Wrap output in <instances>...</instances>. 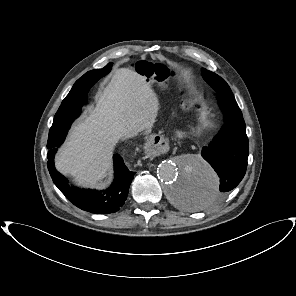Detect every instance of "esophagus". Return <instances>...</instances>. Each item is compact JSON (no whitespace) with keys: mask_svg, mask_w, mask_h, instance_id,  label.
<instances>
[{"mask_svg":"<svg viewBox=\"0 0 296 296\" xmlns=\"http://www.w3.org/2000/svg\"><path fill=\"white\" fill-rule=\"evenodd\" d=\"M168 148V140L160 135H151L142 144V151L148 157L160 158Z\"/></svg>","mask_w":296,"mask_h":296,"instance_id":"1","label":"esophagus"}]
</instances>
